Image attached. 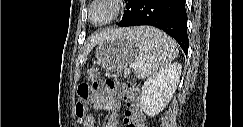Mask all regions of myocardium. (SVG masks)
Listing matches in <instances>:
<instances>
[{
	"label": "myocardium",
	"mask_w": 243,
	"mask_h": 127,
	"mask_svg": "<svg viewBox=\"0 0 243 127\" xmlns=\"http://www.w3.org/2000/svg\"><path fill=\"white\" fill-rule=\"evenodd\" d=\"M95 5H104L111 10V13L104 20L96 22L92 20L91 11ZM124 12V1L122 0H93L87 8L88 21L97 27L106 26L117 20Z\"/></svg>",
	"instance_id": "1"
}]
</instances>
